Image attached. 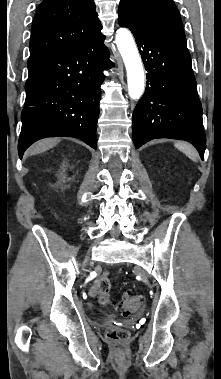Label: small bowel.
Listing matches in <instances>:
<instances>
[{
    "label": "small bowel",
    "instance_id": "small-bowel-1",
    "mask_svg": "<svg viewBox=\"0 0 221 379\" xmlns=\"http://www.w3.org/2000/svg\"><path fill=\"white\" fill-rule=\"evenodd\" d=\"M98 293V287L95 285L90 289V295L91 296H96Z\"/></svg>",
    "mask_w": 221,
    "mask_h": 379
}]
</instances>
